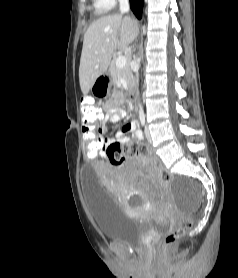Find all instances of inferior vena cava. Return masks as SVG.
Returning a JSON list of instances; mask_svg holds the SVG:
<instances>
[{"label": "inferior vena cava", "instance_id": "1", "mask_svg": "<svg viewBox=\"0 0 238 278\" xmlns=\"http://www.w3.org/2000/svg\"><path fill=\"white\" fill-rule=\"evenodd\" d=\"M119 4L121 13L129 11V0H119Z\"/></svg>", "mask_w": 238, "mask_h": 278}]
</instances>
